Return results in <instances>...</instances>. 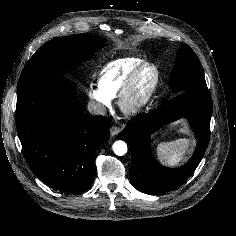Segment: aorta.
Here are the masks:
<instances>
[{
	"label": "aorta",
	"mask_w": 236,
	"mask_h": 236,
	"mask_svg": "<svg viewBox=\"0 0 236 236\" xmlns=\"http://www.w3.org/2000/svg\"><path fill=\"white\" fill-rule=\"evenodd\" d=\"M113 151L118 156H123L127 152V144L118 140L113 144Z\"/></svg>",
	"instance_id": "762f6f07"
}]
</instances>
